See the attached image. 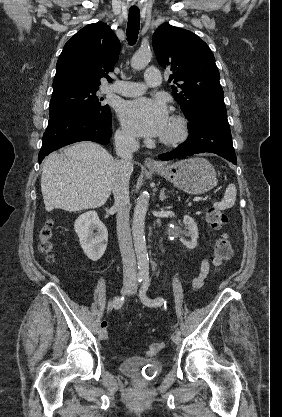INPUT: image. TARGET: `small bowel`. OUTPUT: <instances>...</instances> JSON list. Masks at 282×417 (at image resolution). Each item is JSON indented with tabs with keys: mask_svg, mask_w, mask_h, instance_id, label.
<instances>
[{
	"mask_svg": "<svg viewBox=\"0 0 282 417\" xmlns=\"http://www.w3.org/2000/svg\"><path fill=\"white\" fill-rule=\"evenodd\" d=\"M209 272H210L209 261L206 258H204L200 262V268H199L198 275L196 277H194L192 282H191L192 288L194 290H198L203 286L204 281L206 280ZM120 314H121V311H120ZM121 318H123L122 314H121ZM102 326L104 328L107 327V322L104 321Z\"/></svg>",
	"mask_w": 282,
	"mask_h": 417,
	"instance_id": "1",
	"label": "small bowel"
}]
</instances>
